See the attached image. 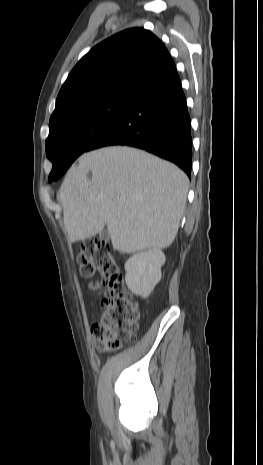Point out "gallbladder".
<instances>
[{
  "instance_id": "bac80fb5",
  "label": "gallbladder",
  "mask_w": 263,
  "mask_h": 465,
  "mask_svg": "<svg viewBox=\"0 0 263 465\" xmlns=\"http://www.w3.org/2000/svg\"><path fill=\"white\" fill-rule=\"evenodd\" d=\"M99 238L102 239V240H105V241H109L110 239V236H109V233L107 230H102L100 233H99Z\"/></svg>"
}]
</instances>
